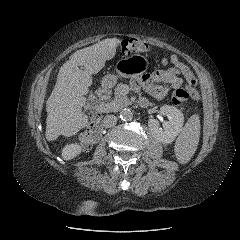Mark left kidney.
<instances>
[{
	"instance_id": "left-kidney-1",
	"label": "left kidney",
	"mask_w": 240,
	"mask_h": 240,
	"mask_svg": "<svg viewBox=\"0 0 240 240\" xmlns=\"http://www.w3.org/2000/svg\"><path fill=\"white\" fill-rule=\"evenodd\" d=\"M160 112L162 115L167 116L169 121L165 122L162 128L159 127L158 120L150 118L148 120V126L152 135L158 141L168 144L173 142L182 130L184 116L179 109L170 105H163L160 108Z\"/></svg>"
}]
</instances>
